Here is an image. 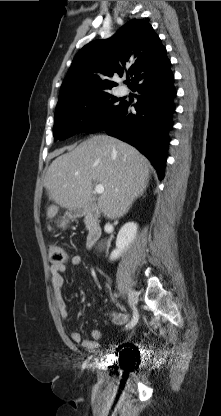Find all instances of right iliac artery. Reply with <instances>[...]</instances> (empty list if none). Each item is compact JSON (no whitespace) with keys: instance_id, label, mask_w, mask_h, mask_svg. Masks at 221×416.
I'll return each mask as SVG.
<instances>
[{"instance_id":"obj_1","label":"right iliac artery","mask_w":221,"mask_h":416,"mask_svg":"<svg viewBox=\"0 0 221 416\" xmlns=\"http://www.w3.org/2000/svg\"><path fill=\"white\" fill-rule=\"evenodd\" d=\"M137 322H138V313H137V311H134L133 312V318L130 321V323L126 326V328L128 329V328L134 327Z\"/></svg>"}]
</instances>
